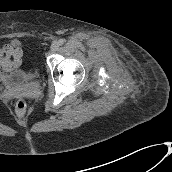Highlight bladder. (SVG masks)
<instances>
[{
  "mask_svg": "<svg viewBox=\"0 0 172 172\" xmlns=\"http://www.w3.org/2000/svg\"><path fill=\"white\" fill-rule=\"evenodd\" d=\"M16 79H17V81L11 82L9 78L4 77V78H2L1 84H2V86H3L4 88H6V89H11V88H13L17 83H19V81H20V76L17 75V76H16Z\"/></svg>",
  "mask_w": 172,
  "mask_h": 172,
  "instance_id": "1",
  "label": "bladder"
}]
</instances>
